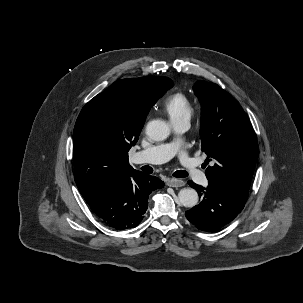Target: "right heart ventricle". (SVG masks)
<instances>
[{
    "label": "right heart ventricle",
    "mask_w": 303,
    "mask_h": 303,
    "mask_svg": "<svg viewBox=\"0 0 303 303\" xmlns=\"http://www.w3.org/2000/svg\"><path fill=\"white\" fill-rule=\"evenodd\" d=\"M163 111L170 122L175 125L182 121H189L193 107L189 98L180 92L171 94L163 102Z\"/></svg>",
    "instance_id": "e07e8e85"
}]
</instances>
